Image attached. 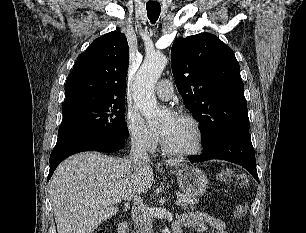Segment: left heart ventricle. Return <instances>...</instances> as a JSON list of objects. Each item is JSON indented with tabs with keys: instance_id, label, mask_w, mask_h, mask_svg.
Listing matches in <instances>:
<instances>
[{
	"instance_id": "obj_1",
	"label": "left heart ventricle",
	"mask_w": 306,
	"mask_h": 233,
	"mask_svg": "<svg viewBox=\"0 0 306 233\" xmlns=\"http://www.w3.org/2000/svg\"><path fill=\"white\" fill-rule=\"evenodd\" d=\"M167 146L177 151L191 150L196 145V132L193 125L184 119L169 118L160 128Z\"/></svg>"
}]
</instances>
